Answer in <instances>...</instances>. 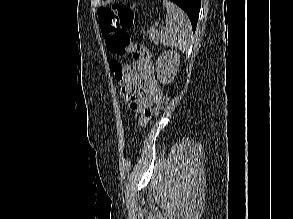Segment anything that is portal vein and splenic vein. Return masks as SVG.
Returning a JSON list of instances; mask_svg holds the SVG:
<instances>
[{"label": "portal vein and splenic vein", "instance_id": "18ae733b", "mask_svg": "<svg viewBox=\"0 0 293 219\" xmlns=\"http://www.w3.org/2000/svg\"><path fill=\"white\" fill-rule=\"evenodd\" d=\"M155 26H160V27H162V24H161L160 22H156V23H155ZM152 30H155V29L153 28Z\"/></svg>", "mask_w": 293, "mask_h": 219}]
</instances>
